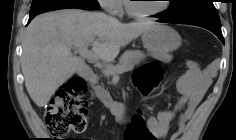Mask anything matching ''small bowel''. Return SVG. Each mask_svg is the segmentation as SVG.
<instances>
[{
	"label": "small bowel",
	"mask_w": 236,
	"mask_h": 140,
	"mask_svg": "<svg viewBox=\"0 0 236 140\" xmlns=\"http://www.w3.org/2000/svg\"><path fill=\"white\" fill-rule=\"evenodd\" d=\"M186 69L177 81V90L181 97L172 109L158 113L156 117L148 118V128L154 140L164 139L170 128L175 115L182 111L178 118V130L171 136L170 140H179L186 123L193 117L198 105L202 101L214 77L212 66L202 69L193 60L185 61Z\"/></svg>",
	"instance_id": "c3829d8e"
}]
</instances>
